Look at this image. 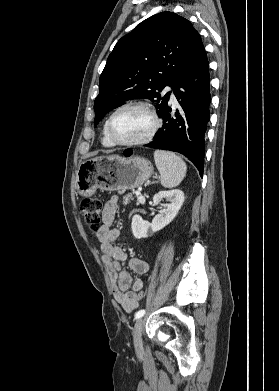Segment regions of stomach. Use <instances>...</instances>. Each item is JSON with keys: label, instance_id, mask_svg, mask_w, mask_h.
Masks as SVG:
<instances>
[{"label": "stomach", "instance_id": "1", "mask_svg": "<svg viewBox=\"0 0 279 391\" xmlns=\"http://www.w3.org/2000/svg\"><path fill=\"white\" fill-rule=\"evenodd\" d=\"M153 174L151 162L143 157H98L83 162L76 174V190L84 197L97 189L123 191L141 186Z\"/></svg>", "mask_w": 279, "mask_h": 391}]
</instances>
